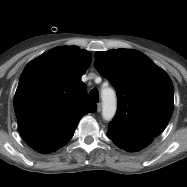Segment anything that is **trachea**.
Listing matches in <instances>:
<instances>
[{
    "instance_id": "3493384b",
    "label": "trachea",
    "mask_w": 187,
    "mask_h": 187,
    "mask_svg": "<svg viewBox=\"0 0 187 187\" xmlns=\"http://www.w3.org/2000/svg\"><path fill=\"white\" fill-rule=\"evenodd\" d=\"M88 101H90V102H98L99 101V92L96 88H94L90 91Z\"/></svg>"
}]
</instances>
